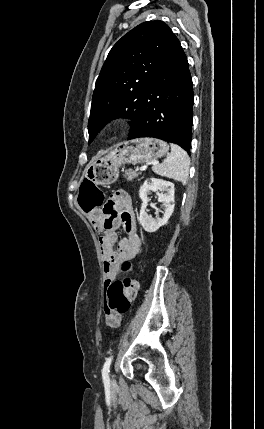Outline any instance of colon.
<instances>
[{
  "mask_svg": "<svg viewBox=\"0 0 264 429\" xmlns=\"http://www.w3.org/2000/svg\"><path fill=\"white\" fill-rule=\"evenodd\" d=\"M78 202L86 212L106 208L103 191L93 182L86 180L79 191ZM132 266L128 262L121 265L124 277L120 280L110 281L106 285L105 308L110 313L124 314L129 311L138 291L137 281L130 275Z\"/></svg>",
  "mask_w": 264,
  "mask_h": 429,
  "instance_id": "colon-1",
  "label": "colon"
}]
</instances>
